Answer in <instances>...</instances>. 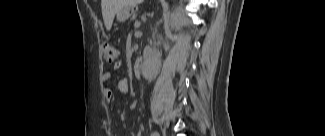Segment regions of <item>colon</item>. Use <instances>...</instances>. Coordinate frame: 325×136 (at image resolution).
Here are the masks:
<instances>
[{
	"instance_id": "colon-1",
	"label": "colon",
	"mask_w": 325,
	"mask_h": 136,
	"mask_svg": "<svg viewBox=\"0 0 325 136\" xmlns=\"http://www.w3.org/2000/svg\"><path fill=\"white\" fill-rule=\"evenodd\" d=\"M103 56L106 61L114 62L119 56V49L112 43H105L102 46Z\"/></svg>"
}]
</instances>
